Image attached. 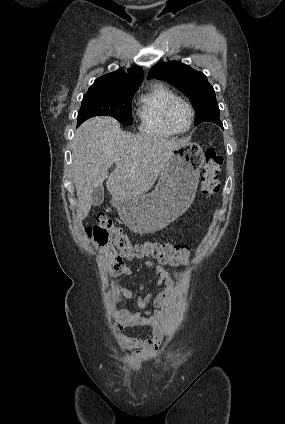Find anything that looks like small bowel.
I'll list each match as a JSON object with an SVG mask.
<instances>
[{
    "label": "small bowel",
    "mask_w": 285,
    "mask_h": 424,
    "mask_svg": "<svg viewBox=\"0 0 285 424\" xmlns=\"http://www.w3.org/2000/svg\"><path fill=\"white\" fill-rule=\"evenodd\" d=\"M144 265L152 275L158 278L157 287L164 285V289L158 293L154 291L145 293L146 285L144 283L140 284L136 291H132L121 284L117 285V290L121 297L129 299L137 296V305L140 309L146 310L150 306L156 308L155 311L146 310L144 313L129 311H116L114 313L115 324L113 331L117 340L122 344L135 348L133 353L127 354L124 357V360L127 362L139 355H150L154 353L157 349V341L153 338H131L123 334L122 331L126 328L154 326L162 316V308L172 296L178 293L175 285V274L170 273L163 266L150 261H146ZM133 273L134 270L130 267H124L121 271V274L124 276H130Z\"/></svg>",
    "instance_id": "1"
}]
</instances>
